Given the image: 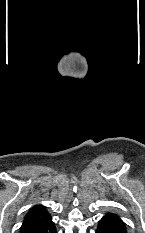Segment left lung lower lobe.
<instances>
[{
    "label": "left lung lower lobe",
    "mask_w": 145,
    "mask_h": 233,
    "mask_svg": "<svg viewBox=\"0 0 145 233\" xmlns=\"http://www.w3.org/2000/svg\"><path fill=\"white\" fill-rule=\"evenodd\" d=\"M96 233H126V232L114 227L111 223L101 219L98 223Z\"/></svg>",
    "instance_id": "0a47b994"
}]
</instances>
